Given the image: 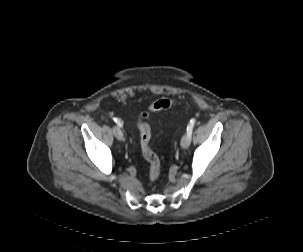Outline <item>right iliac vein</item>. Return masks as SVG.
<instances>
[{
    "mask_svg": "<svg viewBox=\"0 0 303 252\" xmlns=\"http://www.w3.org/2000/svg\"><path fill=\"white\" fill-rule=\"evenodd\" d=\"M112 131H113V134L114 136L118 139V140H123L124 136H123V133L121 131V129L117 126H114L112 128Z\"/></svg>",
    "mask_w": 303,
    "mask_h": 252,
    "instance_id": "63e3f726",
    "label": "right iliac vein"
}]
</instances>
